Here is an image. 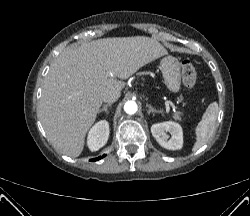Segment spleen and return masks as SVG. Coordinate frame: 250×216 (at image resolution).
Returning <instances> with one entry per match:
<instances>
[{
	"label": "spleen",
	"instance_id": "1",
	"mask_svg": "<svg viewBox=\"0 0 250 216\" xmlns=\"http://www.w3.org/2000/svg\"><path fill=\"white\" fill-rule=\"evenodd\" d=\"M218 112L219 106L217 102H212L211 104H209L206 112L202 117V120L195 128L196 142L192 148L193 152H196L203 145H205L215 132Z\"/></svg>",
	"mask_w": 250,
	"mask_h": 216
}]
</instances>
